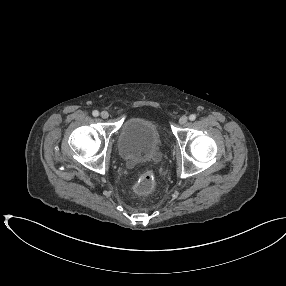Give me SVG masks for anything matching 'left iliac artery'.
Instances as JSON below:
<instances>
[{"mask_svg": "<svg viewBox=\"0 0 286 286\" xmlns=\"http://www.w3.org/2000/svg\"><path fill=\"white\" fill-rule=\"evenodd\" d=\"M189 119H190L191 121H194V120L196 119V115H195V114H191V115L189 116Z\"/></svg>", "mask_w": 286, "mask_h": 286, "instance_id": "obj_1", "label": "left iliac artery"}]
</instances>
